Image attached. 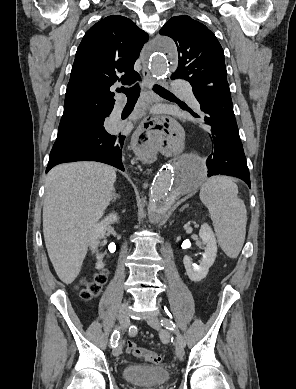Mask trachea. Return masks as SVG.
Here are the masks:
<instances>
[{"instance_id": "1", "label": "trachea", "mask_w": 296, "mask_h": 389, "mask_svg": "<svg viewBox=\"0 0 296 389\" xmlns=\"http://www.w3.org/2000/svg\"><path fill=\"white\" fill-rule=\"evenodd\" d=\"M153 90L159 95H172L171 92H169L168 90H166L165 88L159 85H155ZM119 92H123L124 94H126L128 100H137L140 94V86L136 84L131 88L122 87L119 88Z\"/></svg>"}]
</instances>
